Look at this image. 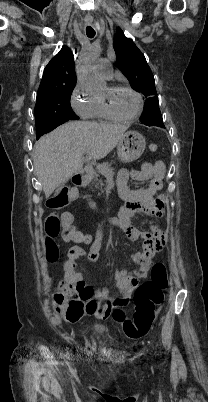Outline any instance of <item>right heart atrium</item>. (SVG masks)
Masks as SVG:
<instances>
[{
	"mask_svg": "<svg viewBox=\"0 0 208 402\" xmlns=\"http://www.w3.org/2000/svg\"><path fill=\"white\" fill-rule=\"evenodd\" d=\"M96 97L90 93L79 81L74 85L70 94L72 108L83 118L92 119L94 115Z\"/></svg>",
	"mask_w": 208,
	"mask_h": 402,
	"instance_id": "1",
	"label": "right heart atrium"
}]
</instances>
